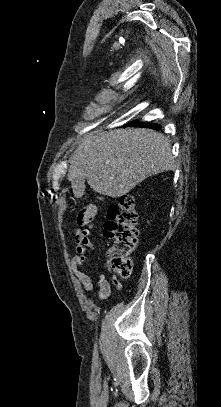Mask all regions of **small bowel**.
<instances>
[{
  "label": "small bowel",
  "instance_id": "c3829d8e",
  "mask_svg": "<svg viewBox=\"0 0 221 407\" xmlns=\"http://www.w3.org/2000/svg\"><path fill=\"white\" fill-rule=\"evenodd\" d=\"M78 255L72 257L70 262V267L73 270L77 280L82 285L85 292H91L93 289L92 278L83 270L84 264L88 260V256L93 249L92 236L88 238H81L76 240ZM113 284L117 290L122 288V283L117 279L113 278ZM98 286H99V299L105 302L111 292V285L106 275L99 271L98 272Z\"/></svg>",
  "mask_w": 221,
  "mask_h": 407
}]
</instances>
